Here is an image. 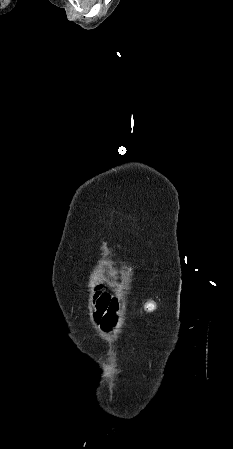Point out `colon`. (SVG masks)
Segmentation results:
<instances>
[{
    "instance_id": "obj_1",
    "label": "colon",
    "mask_w": 233,
    "mask_h": 449,
    "mask_svg": "<svg viewBox=\"0 0 233 449\" xmlns=\"http://www.w3.org/2000/svg\"><path fill=\"white\" fill-rule=\"evenodd\" d=\"M121 304V297H109L107 292L97 294L94 318L99 328H111L114 323L121 322L122 317L116 311Z\"/></svg>"
}]
</instances>
